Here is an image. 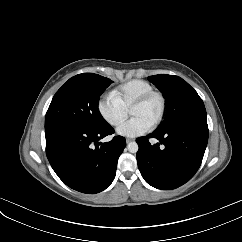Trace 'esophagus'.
Listing matches in <instances>:
<instances>
[{
	"mask_svg": "<svg viewBox=\"0 0 242 242\" xmlns=\"http://www.w3.org/2000/svg\"><path fill=\"white\" fill-rule=\"evenodd\" d=\"M132 141V139H126V142L127 143H129V142H131Z\"/></svg>",
	"mask_w": 242,
	"mask_h": 242,
	"instance_id": "34e87169",
	"label": "esophagus"
}]
</instances>
